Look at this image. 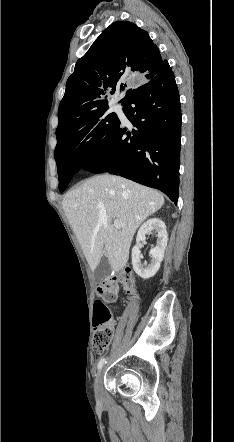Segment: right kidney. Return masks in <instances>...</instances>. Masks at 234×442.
<instances>
[{
  "label": "right kidney",
  "instance_id": "1",
  "mask_svg": "<svg viewBox=\"0 0 234 442\" xmlns=\"http://www.w3.org/2000/svg\"><path fill=\"white\" fill-rule=\"evenodd\" d=\"M155 231L157 233V244L149 252L151 257L150 264L143 265L141 263L140 248L143 246L142 241L145 240L147 233ZM168 234L165 223L159 218H150L139 228L136 238V245L132 249V265L138 276L143 279L153 277L160 268V264L164 258V252L167 246Z\"/></svg>",
  "mask_w": 234,
  "mask_h": 442
}]
</instances>
